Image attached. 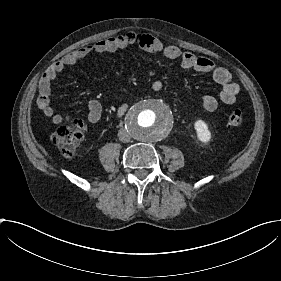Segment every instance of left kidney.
Wrapping results in <instances>:
<instances>
[{
  "label": "left kidney",
  "mask_w": 281,
  "mask_h": 281,
  "mask_svg": "<svg viewBox=\"0 0 281 281\" xmlns=\"http://www.w3.org/2000/svg\"><path fill=\"white\" fill-rule=\"evenodd\" d=\"M194 127L197 132V137L201 142L207 143L210 141L211 132L208 130V126L204 121H196Z\"/></svg>",
  "instance_id": "1"
}]
</instances>
